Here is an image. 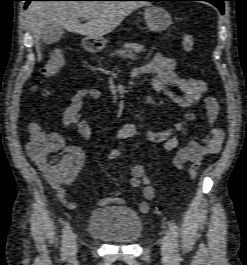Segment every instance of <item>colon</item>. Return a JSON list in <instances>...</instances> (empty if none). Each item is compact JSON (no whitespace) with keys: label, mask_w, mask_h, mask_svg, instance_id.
<instances>
[{"label":"colon","mask_w":247,"mask_h":265,"mask_svg":"<svg viewBox=\"0 0 247 265\" xmlns=\"http://www.w3.org/2000/svg\"><path fill=\"white\" fill-rule=\"evenodd\" d=\"M181 46L185 52H192L195 46L194 35L183 34L181 36ZM64 65L65 57L63 50H53L33 90L44 93V91L40 90V85L55 75ZM29 131L30 140L26 146L28 155L49 177L54 179L64 178L70 170L71 159L65 154L60 138L56 134L46 133L36 121H32L29 124ZM120 156L121 151L115 148L110 150L107 159L110 162H114ZM200 168V161L193 162L189 169V176H196ZM157 211H160V209L158 208Z\"/></svg>","instance_id":"obj_1"}]
</instances>
